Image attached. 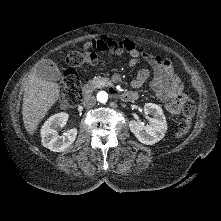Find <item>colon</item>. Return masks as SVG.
Listing matches in <instances>:
<instances>
[{"label": "colon", "mask_w": 221, "mask_h": 221, "mask_svg": "<svg viewBox=\"0 0 221 221\" xmlns=\"http://www.w3.org/2000/svg\"><path fill=\"white\" fill-rule=\"evenodd\" d=\"M98 56L91 51H72L67 55L66 62L70 67H79L82 65H92L97 63ZM62 97L61 105L70 108L78 105L82 99L81 83L76 71L67 70L61 77ZM195 103L186 100L183 105L182 118L178 123L176 136L178 138L184 136L192 123L195 114Z\"/></svg>", "instance_id": "colon-1"}]
</instances>
